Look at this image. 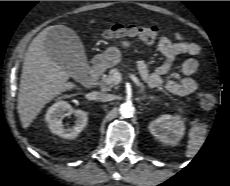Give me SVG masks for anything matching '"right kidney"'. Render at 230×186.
<instances>
[{
  "label": "right kidney",
  "mask_w": 230,
  "mask_h": 186,
  "mask_svg": "<svg viewBox=\"0 0 230 186\" xmlns=\"http://www.w3.org/2000/svg\"><path fill=\"white\" fill-rule=\"evenodd\" d=\"M70 114H74L76 117L75 124L72 127L65 128L62 124V119ZM45 119L52 133L62 138L73 139L86 126L88 114L82 110H72L69 103L60 100L49 107Z\"/></svg>",
  "instance_id": "1"
}]
</instances>
